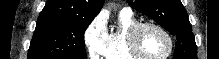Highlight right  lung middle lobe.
<instances>
[{
  "label": "right lung middle lobe",
  "mask_w": 219,
  "mask_h": 59,
  "mask_svg": "<svg viewBox=\"0 0 219 59\" xmlns=\"http://www.w3.org/2000/svg\"><path fill=\"white\" fill-rule=\"evenodd\" d=\"M91 20L39 17L27 59H87L84 32Z\"/></svg>",
  "instance_id": "right-lung-middle-lobe-1"
}]
</instances>
